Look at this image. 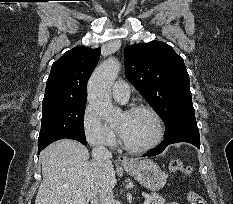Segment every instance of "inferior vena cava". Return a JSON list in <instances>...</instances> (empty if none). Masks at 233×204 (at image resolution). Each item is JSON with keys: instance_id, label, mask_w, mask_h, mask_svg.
Returning <instances> with one entry per match:
<instances>
[{"instance_id": "obj_1", "label": "inferior vena cava", "mask_w": 233, "mask_h": 204, "mask_svg": "<svg viewBox=\"0 0 233 204\" xmlns=\"http://www.w3.org/2000/svg\"><path fill=\"white\" fill-rule=\"evenodd\" d=\"M92 156L105 169L111 165L112 154L102 145L95 146L92 149ZM91 204H115L112 186L106 173L101 179L98 190L92 195Z\"/></svg>"}]
</instances>
